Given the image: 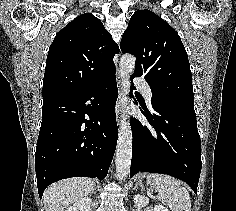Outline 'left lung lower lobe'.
Wrapping results in <instances>:
<instances>
[{
	"mask_svg": "<svg viewBox=\"0 0 236 211\" xmlns=\"http://www.w3.org/2000/svg\"><path fill=\"white\" fill-rule=\"evenodd\" d=\"M153 98L150 110L141 109L148 126L131 118L130 177L138 172L168 174L185 181L197 193L202 162L196 114L165 108Z\"/></svg>",
	"mask_w": 236,
	"mask_h": 211,
	"instance_id": "0a47b994",
	"label": "left lung lower lobe"
}]
</instances>
